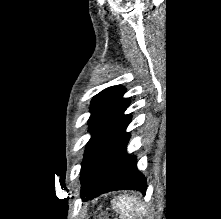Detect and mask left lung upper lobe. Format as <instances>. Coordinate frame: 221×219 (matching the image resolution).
<instances>
[{
  "label": "left lung upper lobe",
  "mask_w": 221,
  "mask_h": 219,
  "mask_svg": "<svg viewBox=\"0 0 221 219\" xmlns=\"http://www.w3.org/2000/svg\"><path fill=\"white\" fill-rule=\"evenodd\" d=\"M124 93V87L111 86L93 98L88 121L92 137L87 143L82 168L100 141L123 118L129 106L128 98L122 97Z\"/></svg>",
  "instance_id": "5c2ea615"
}]
</instances>
